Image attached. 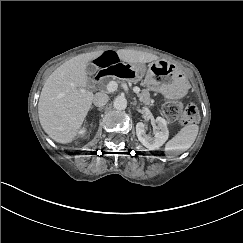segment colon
<instances>
[{"instance_id": "obj_1", "label": "colon", "mask_w": 243, "mask_h": 243, "mask_svg": "<svg viewBox=\"0 0 243 243\" xmlns=\"http://www.w3.org/2000/svg\"><path fill=\"white\" fill-rule=\"evenodd\" d=\"M162 110L168 119H180L181 125L193 124L196 123L199 119L198 109L194 105L184 107L178 100L166 101Z\"/></svg>"}]
</instances>
